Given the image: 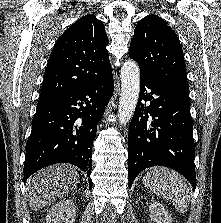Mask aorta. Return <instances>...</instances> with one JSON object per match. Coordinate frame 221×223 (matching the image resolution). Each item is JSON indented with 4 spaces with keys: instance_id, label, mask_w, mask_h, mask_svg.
<instances>
[{
    "instance_id": "762f6f07",
    "label": "aorta",
    "mask_w": 221,
    "mask_h": 223,
    "mask_svg": "<svg viewBox=\"0 0 221 223\" xmlns=\"http://www.w3.org/2000/svg\"><path fill=\"white\" fill-rule=\"evenodd\" d=\"M140 92V70L137 63L129 60L121 68V94L118 107V119L126 125L132 118Z\"/></svg>"
}]
</instances>
